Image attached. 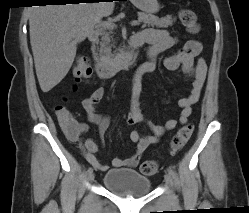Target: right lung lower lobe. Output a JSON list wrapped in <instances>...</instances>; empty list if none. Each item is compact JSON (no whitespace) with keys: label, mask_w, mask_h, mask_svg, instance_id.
I'll use <instances>...</instances> for the list:
<instances>
[{"label":"right lung lower lobe","mask_w":249,"mask_h":213,"mask_svg":"<svg viewBox=\"0 0 249 213\" xmlns=\"http://www.w3.org/2000/svg\"><path fill=\"white\" fill-rule=\"evenodd\" d=\"M45 2H48V3H55V4H66V3H78L81 1V0H44ZM109 1H113V0H109ZM45 2H42V3H45Z\"/></svg>","instance_id":"1"}]
</instances>
